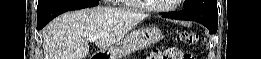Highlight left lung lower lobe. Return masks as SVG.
Returning a JSON list of instances; mask_svg holds the SVG:
<instances>
[{"mask_svg": "<svg viewBox=\"0 0 261 59\" xmlns=\"http://www.w3.org/2000/svg\"><path fill=\"white\" fill-rule=\"evenodd\" d=\"M163 16L172 19L196 21L206 26L210 34L216 33L218 29V14L215 10L193 8L185 9L179 13L163 14Z\"/></svg>", "mask_w": 261, "mask_h": 59, "instance_id": "obj_1", "label": "left lung lower lobe"}]
</instances>
